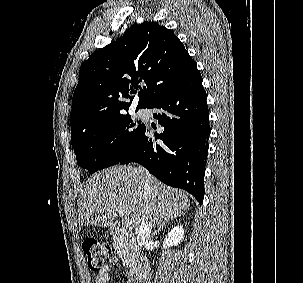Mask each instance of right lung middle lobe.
<instances>
[{
    "label": "right lung middle lobe",
    "instance_id": "right-lung-middle-lobe-1",
    "mask_svg": "<svg viewBox=\"0 0 303 283\" xmlns=\"http://www.w3.org/2000/svg\"><path fill=\"white\" fill-rule=\"evenodd\" d=\"M130 115L94 123L75 131L71 144L77 163L90 173L118 164L131 150L145 125L133 128ZM116 138L112 144L110 142Z\"/></svg>",
    "mask_w": 303,
    "mask_h": 283
}]
</instances>
